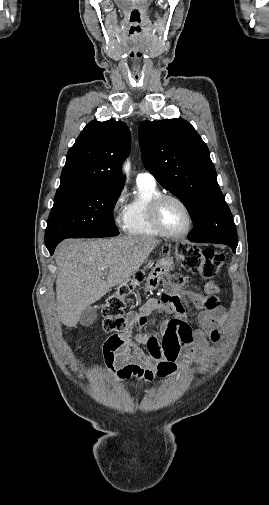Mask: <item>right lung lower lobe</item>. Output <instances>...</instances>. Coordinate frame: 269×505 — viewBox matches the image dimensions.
Instances as JSON below:
<instances>
[{"label":"right lung lower lobe","instance_id":"1","mask_svg":"<svg viewBox=\"0 0 269 505\" xmlns=\"http://www.w3.org/2000/svg\"><path fill=\"white\" fill-rule=\"evenodd\" d=\"M62 240H59V241H56L54 243H51V244H47L46 247L47 249L49 250L50 254H53L54 253V250H55V247L57 246V244L59 242H61Z\"/></svg>","mask_w":269,"mask_h":505}]
</instances>
